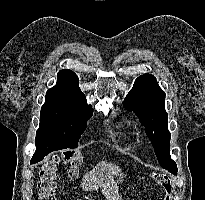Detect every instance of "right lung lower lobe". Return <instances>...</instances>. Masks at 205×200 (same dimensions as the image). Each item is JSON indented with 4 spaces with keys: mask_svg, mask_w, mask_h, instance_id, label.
<instances>
[{
    "mask_svg": "<svg viewBox=\"0 0 205 200\" xmlns=\"http://www.w3.org/2000/svg\"><path fill=\"white\" fill-rule=\"evenodd\" d=\"M36 151L30 163H36L42 160L50 152L62 149V145L53 138L35 139Z\"/></svg>",
    "mask_w": 205,
    "mask_h": 200,
    "instance_id": "1",
    "label": "right lung lower lobe"
}]
</instances>
